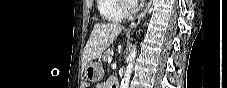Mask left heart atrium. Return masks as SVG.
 Here are the masks:
<instances>
[{"label":"left heart atrium","mask_w":227,"mask_h":88,"mask_svg":"<svg viewBox=\"0 0 227 88\" xmlns=\"http://www.w3.org/2000/svg\"><path fill=\"white\" fill-rule=\"evenodd\" d=\"M133 2H134V4H136V5H138V4H140V3H141V1H140V0H134Z\"/></svg>","instance_id":"39dd6f15"}]
</instances>
